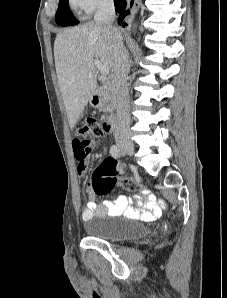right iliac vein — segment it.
<instances>
[{
	"instance_id": "right-iliac-vein-1",
	"label": "right iliac vein",
	"mask_w": 227,
	"mask_h": 298,
	"mask_svg": "<svg viewBox=\"0 0 227 298\" xmlns=\"http://www.w3.org/2000/svg\"><path fill=\"white\" fill-rule=\"evenodd\" d=\"M119 148L129 155H133L134 153V145L130 142L120 143Z\"/></svg>"
}]
</instances>
